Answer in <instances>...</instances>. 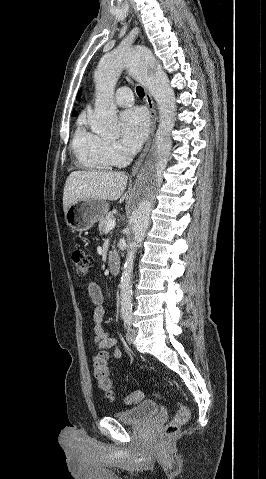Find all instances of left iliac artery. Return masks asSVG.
Returning <instances> with one entry per match:
<instances>
[{
    "label": "left iliac artery",
    "instance_id": "left-iliac-artery-1",
    "mask_svg": "<svg viewBox=\"0 0 266 479\" xmlns=\"http://www.w3.org/2000/svg\"><path fill=\"white\" fill-rule=\"evenodd\" d=\"M123 319H124L126 328H130L132 324V315L130 313H125L123 314Z\"/></svg>",
    "mask_w": 266,
    "mask_h": 479
}]
</instances>
